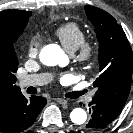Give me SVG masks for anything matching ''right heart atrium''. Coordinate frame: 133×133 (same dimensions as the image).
I'll use <instances>...</instances> for the list:
<instances>
[{"mask_svg":"<svg viewBox=\"0 0 133 133\" xmlns=\"http://www.w3.org/2000/svg\"><path fill=\"white\" fill-rule=\"evenodd\" d=\"M42 45V38L39 35L32 36L26 46V53L29 58H36Z\"/></svg>","mask_w":133,"mask_h":133,"instance_id":"d8ad5b80","label":"right heart atrium"}]
</instances>
